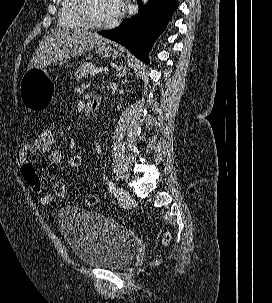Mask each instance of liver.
I'll use <instances>...</instances> for the list:
<instances>
[{
    "label": "liver",
    "instance_id": "6515ba94",
    "mask_svg": "<svg viewBox=\"0 0 272 303\" xmlns=\"http://www.w3.org/2000/svg\"><path fill=\"white\" fill-rule=\"evenodd\" d=\"M106 41L109 40L87 30L56 29L39 43L27 70L74 58Z\"/></svg>",
    "mask_w": 272,
    "mask_h": 303
}]
</instances>
